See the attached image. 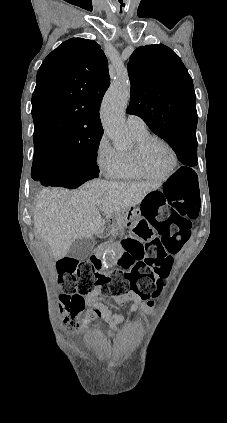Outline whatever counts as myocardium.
I'll list each match as a JSON object with an SVG mask.
<instances>
[{"label": "myocardium", "instance_id": "myocardium-1", "mask_svg": "<svg viewBox=\"0 0 227 423\" xmlns=\"http://www.w3.org/2000/svg\"><path fill=\"white\" fill-rule=\"evenodd\" d=\"M154 142H159L162 145H164L171 154L170 167L163 174L151 173L147 169L144 162L145 151ZM132 159H133V165H134L135 171L140 177H143L149 180H156V181L165 180L171 177L176 171L178 162H179L178 154L175 148L173 147V145L170 142H168L166 139L156 135H149L143 140L136 143L132 150Z\"/></svg>", "mask_w": 227, "mask_h": 423}]
</instances>
